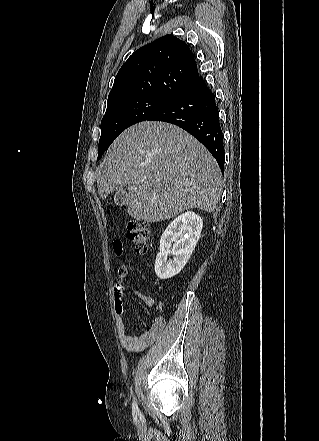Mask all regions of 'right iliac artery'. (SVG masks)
Instances as JSON below:
<instances>
[{"mask_svg":"<svg viewBox=\"0 0 319 441\" xmlns=\"http://www.w3.org/2000/svg\"><path fill=\"white\" fill-rule=\"evenodd\" d=\"M132 413L134 417H137V415L139 414V409L136 403V400L134 398L133 403H132Z\"/></svg>","mask_w":319,"mask_h":441,"instance_id":"right-iliac-artery-1","label":"right iliac artery"}]
</instances>
